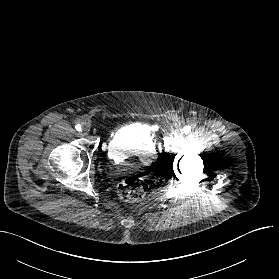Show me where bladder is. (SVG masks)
I'll return each mask as SVG.
<instances>
[{
  "mask_svg": "<svg viewBox=\"0 0 279 279\" xmlns=\"http://www.w3.org/2000/svg\"><path fill=\"white\" fill-rule=\"evenodd\" d=\"M109 157L122 168H146L157 159V146L150 127L133 122L114 130L107 140Z\"/></svg>",
  "mask_w": 279,
  "mask_h": 279,
  "instance_id": "1",
  "label": "bladder"
}]
</instances>
